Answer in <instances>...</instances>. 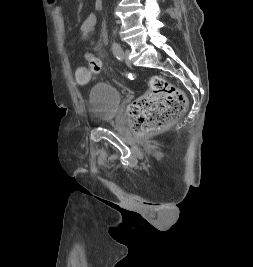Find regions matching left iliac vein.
<instances>
[{
	"mask_svg": "<svg viewBox=\"0 0 253 267\" xmlns=\"http://www.w3.org/2000/svg\"><path fill=\"white\" fill-rule=\"evenodd\" d=\"M129 51L128 50H125V51H122L121 52V57L122 59H124V61L127 63V64H131V61L128 59V55H129Z\"/></svg>",
	"mask_w": 253,
	"mask_h": 267,
	"instance_id": "obj_1",
	"label": "left iliac vein"
}]
</instances>
